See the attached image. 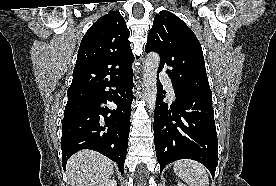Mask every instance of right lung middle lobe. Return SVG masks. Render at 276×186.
I'll use <instances>...</instances> for the list:
<instances>
[{"mask_svg":"<svg viewBox=\"0 0 276 186\" xmlns=\"http://www.w3.org/2000/svg\"><path fill=\"white\" fill-rule=\"evenodd\" d=\"M93 88H83V89H76V90H68L67 95H68V101H73L76 98L80 97L83 94H86L90 91H92Z\"/></svg>","mask_w":276,"mask_h":186,"instance_id":"1","label":"right lung middle lobe"}]
</instances>
